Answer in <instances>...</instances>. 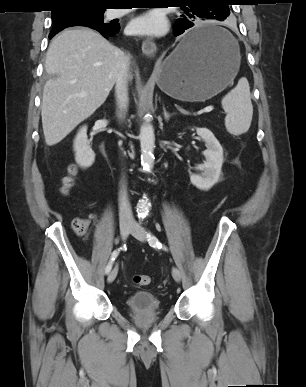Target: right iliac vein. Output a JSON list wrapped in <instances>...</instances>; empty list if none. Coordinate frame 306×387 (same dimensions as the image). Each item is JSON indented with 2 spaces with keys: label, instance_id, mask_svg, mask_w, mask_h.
I'll list each match as a JSON object with an SVG mask.
<instances>
[{
  "label": "right iliac vein",
  "instance_id": "right-iliac-vein-1",
  "mask_svg": "<svg viewBox=\"0 0 306 387\" xmlns=\"http://www.w3.org/2000/svg\"><path fill=\"white\" fill-rule=\"evenodd\" d=\"M132 224L129 222H122L120 223V234L123 238H126L131 231ZM118 273V267L115 266L113 270L108 274L107 281L109 283L113 282L117 276Z\"/></svg>",
  "mask_w": 306,
  "mask_h": 387
}]
</instances>
